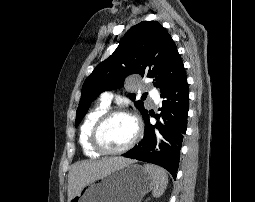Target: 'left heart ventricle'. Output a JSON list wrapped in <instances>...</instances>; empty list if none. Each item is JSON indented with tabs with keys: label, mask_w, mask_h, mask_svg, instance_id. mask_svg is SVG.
I'll list each match as a JSON object with an SVG mask.
<instances>
[{
	"label": "left heart ventricle",
	"mask_w": 255,
	"mask_h": 202,
	"mask_svg": "<svg viewBox=\"0 0 255 202\" xmlns=\"http://www.w3.org/2000/svg\"><path fill=\"white\" fill-rule=\"evenodd\" d=\"M135 124L133 120L124 115L111 118L101 131V142L108 149H120L133 138Z\"/></svg>",
	"instance_id": "b2bd125f"
}]
</instances>
